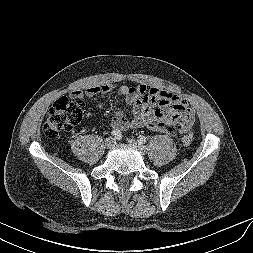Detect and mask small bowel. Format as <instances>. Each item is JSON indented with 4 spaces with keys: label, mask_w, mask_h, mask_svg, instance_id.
I'll return each instance as SVG.
<instances>
[{
    "label": "small bowel",
    "mask_w": 253,
    "mask_h": 253,
    "mask_svg": "<svg viewBox=\"0 0 253 253\" xmlns=\"http://www.w3.org/2000/svg\"><path fill=\"white\" fill-rule=\"evenodd\" d=\"M113 89L110 84L91 86L85 91L74 90L71 98H87L94 101L98 95H107ZM119 96L125 99L131 109L132 117L128 119L123 111H117L111 121V127L117 130L146 127L151 131L172 134L188 132L195 120V112L188 103L177 94L144 85H121L117 89ZM106 101L95 103L103 108Z\"/></svg>",
    "instance_id": "obj_1"
}]
</instances>
